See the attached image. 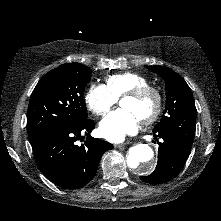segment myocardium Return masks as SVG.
Wrapping results in <instances>:
<instances>
[{"instance_id":"f54148a6","label":"myocardium","mask_w":221,"mask_h":221,"mask_svg":"<svg viewBox=\"0 0 221 221\" xmlns=\"http://www.w3.org/2000/svg\"><path fill=\"white\" fill-rule=\"evenodd\" d=\"M147 96H153L155 99L154 110L145 118L141 119L142 124H151L157 120L162 112L163 107V97L161 92L154 86L146 85L135 88L127 93H125L121 100L124 98L142 99Z\"/></svg>"}]
</instances>
